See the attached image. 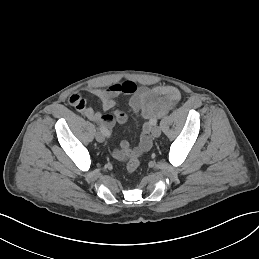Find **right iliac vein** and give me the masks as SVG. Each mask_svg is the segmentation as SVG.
Instances as JSON below:
<instances>
[{
	"instance_id": "1",
	"label": "right iliac vein",
	"mask_w": 259,
	"mask_h": 259,
	"mask_svg": "<svg viewBox=\"0 0 259 259\" xmlns=\"http://www.w3.org/2000/svg\"><path fill=\"white\" fill-rule=\"evenodd\" d=\"M95 137H96V140L100 143L104 142V140H105V137L101 132H97Z\"/></svg>"
}]
</instances>
